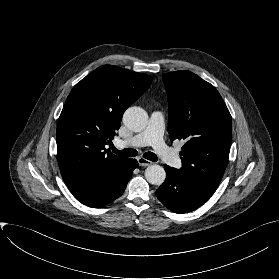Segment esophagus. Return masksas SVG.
Returning <instances> with one entry per match:
<instances>
[{"instance_id":"obj_1","label":"esophagus","mask_w":279,"mask_h":279,"mask_svg":"<svg viewBox=\"0 0 279 279\" xmlns=\"http://www.w3.org/2000/svg\"><path fill=\"white\" fill-rule=\"evenodd\" d=\"M137 161H138L139 165H140V166H143V167H146V166H149V165L152 164L151 161H149V160H147V159H145V158H143V157H139V158L137 159Z\"/></svg>"}]
</instances>
